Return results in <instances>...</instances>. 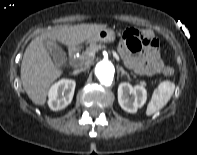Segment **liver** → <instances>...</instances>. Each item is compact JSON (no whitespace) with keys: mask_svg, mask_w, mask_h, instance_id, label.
<instances>
[{"mask_svg":"<svg viewBox=\"0 0 197 155\" xmlns=\"http://www.w3.org/2000/svg\"><path fill=\"white\" fill-rule=\"evenodd\" d=\"M104 28L106 25L98 24L61 26L41 34L30 42L21 63V83L34 104L46 103L51 84L62 75V71L53 63L44 42L57 40L68 47H75Z\"/></svg>","mask_w":197,"mask_h":155,"instance_id":"liver-1","label":"liver"}]
</instances>
